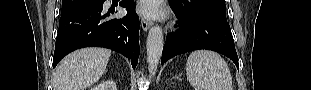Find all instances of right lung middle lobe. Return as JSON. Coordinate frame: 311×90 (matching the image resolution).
<instances>
[{
    "instance_id": "dd1d6c3e",
    "label": "right lung middle lobe",
    "mask_w": 311,
    "mask_h": 90,
    "mask_svg": "<svg viewBox=\"0 0 311 90\" xmlns=\"http://www.w3.org/2000/svg\"><path fill=\"white\" fill-rule=\"evenodd\" d=\"M99 0H62L61 14L66 13L76 7L97 2Z\"/></svg>"
}]
</instances>
